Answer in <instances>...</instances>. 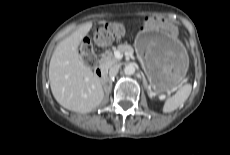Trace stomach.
<instances>
[{
    "label": "stomach",
    "instance_id": "0dacf381",
    "mask_svg": "<svg viewBox=\"0 0 230 155\" xmlns=\"http://www.w3.org/2000/svg\"><path fill=\"white\" fill-rule=\"evenodd\" d=\"M134 48L154 93L164 94L184 79L189 58L176 36L162 30L139 32Z\"/></svg>",
    "mask_w": 230,
    "mask_h": 155
}]
</instances>
